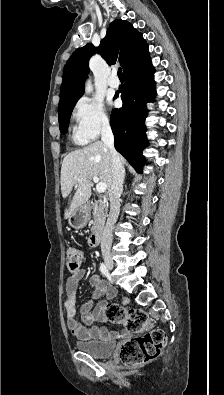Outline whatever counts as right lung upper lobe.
<instances>
[{
	"instance_id": "right-lung-upper-lobe-1",
	"label": "right lung upper lobe",
	"mask_w": 224,
	"mask_h": 395,
	"mask_svg": "<svg viewBox=\"0 0 224 395\" xmlns=\"http://www.w3.org/2000/svg\"><path fill=\"white\" fill-rule=\"evenodd\" d=\"M147 51L148 46L142 34L129 22L113 21L99 47L95 48L89 43L77 49L66 63L58 109L65 107L76 97L82 96L91 55L99 53L108 63L112 64L118 61L125 71Z\"/></svg>"
}]
</instances>
